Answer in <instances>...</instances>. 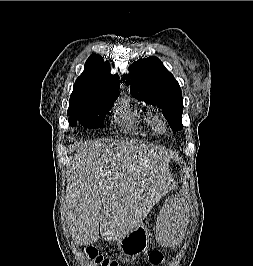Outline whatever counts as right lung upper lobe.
<instances>
[{
  "mask_svg": "<svg viewBox=\"0 0 253 266\" xmlns=\"http://www.w3.org/2000/svg\"><path fill=\"white\" fill-rule=\"evenodd\" d=\"M119 86V76L110 74L109 62H104L100 55L92 54L85 63L83 73L74 84L70 105L118 96Z\"/></svg>",
  "mask_w": 253,
  "mask_h": 266,
  "instance_id": "cb5924a9",
  "label": "right lung upper lobe"
}]
</instances>
